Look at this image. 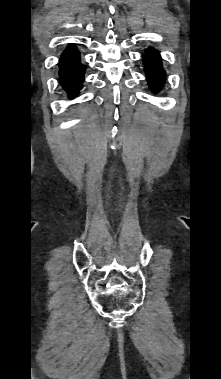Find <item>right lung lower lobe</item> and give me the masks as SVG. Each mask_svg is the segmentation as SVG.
Wrapping results in <instances>:
<instances>
[{"label": "right lung lower lobe", "instance_id": "obj_1", "mask_svg": "<svg viewBox=\"0 0 221 379\" xmlns=\"http://www.w3.org/2000/svg\"><path fill=\"white\" fill-rule=\"evenodd\" d=\"M85 67L81 64L79 51L69 46L62 54L59 62V76L62 87L70 98L75 97L82 88Z\"/></svg>", "mask_w": 221, "mask_h": 379}]
</instances>
